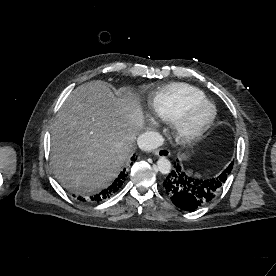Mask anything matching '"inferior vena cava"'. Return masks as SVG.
Returning <instances> with one entry per match:
<instances>
[{"label":"inferior vena cava","mask_w":276,"mask_h":276,"mask_svg":"<svg viewBox=\"0 0 276 276\" xmlns=\"http://www.w3.org/2000/svg\"><path fill=\"white\" fill-rule=\"evenodd\" d=\"M137 144L141 150L150 151L161 146L163 138L157 132H144L138 136Z\"/></svg>","instance_id":"1"}]
</instances>
